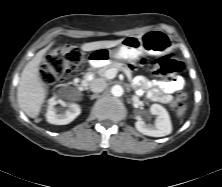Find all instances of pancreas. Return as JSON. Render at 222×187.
Segmentation results:
<instances>
[{
  "label": "pancreas",
  "instance_id": "pancreas-1",
  "mask_svg": "<svg viewBox=\"0 0 222 187\" xmlns=\"http://www.w3.org/2000/svg\"><path fill=\"white\" fill-rule=\"evenodd\" d=\"M112 68H115L117 70H124L126 69L127 67L122 64V63H119V62H111L109 63L108 65H105L104 67L100 68L97 73L101 76V77H105V74L106 72L109 70V69H112Z\"/></svg>",
  "mask_w": 222,
  "mask_h": 187
}]
</instances>
